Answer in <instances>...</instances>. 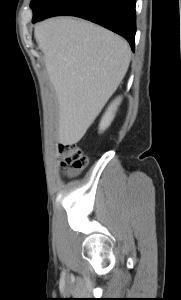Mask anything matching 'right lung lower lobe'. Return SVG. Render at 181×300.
Wrapping results in <instances>:
<instances>
[{
  "label": "right lung lower lobe",
  "instance_id": "obj_1",
  "mask_svg": "<svg viewBox=\"0 0 181 300\" xmlns=\"http://www.w3.org/2000/svg\"><path fill=\"white\" fill-rule=\"evenodd\" d=\"M59 15L77 16L123 36L134 51L135 0H58L32 22Z\"/></svg>",
  "mask_w": 181,
  "mask_h": 300
}]
</instances>
